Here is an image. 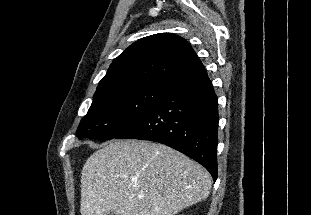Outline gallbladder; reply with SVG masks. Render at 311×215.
<instances>
[{"instance_id": "bac80fb5", "label": "gallbladder", "mask_w": 311, "mask_h": 215, "mask_svg": "<svg viewBox=\"0 0 311 215\" xmlns=\"http://www.w3.org/2000/svg\"><path fill=\"white\" fill-rule=\"evenodd\" d=\"M108 215H116L115 212H110Z\"/></svg>"}]
</instances>
